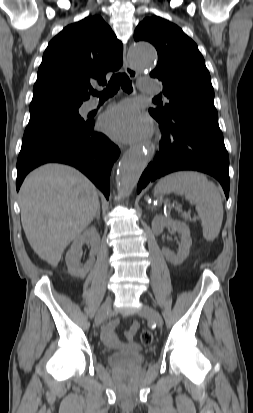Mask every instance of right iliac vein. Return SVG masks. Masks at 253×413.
Masks as SVG:
<instances>
[{
    "label": "right iliac vein",
    "instance_id": "right-iliac-vein-1",
    "mask_svg": "<svg viewBox=\"0 0 253 413\" xmlns=\"http://www.w3.org/2000/svg\"><path fill=\"white\" fill-rule=\"evenodd\" d=\"M110 311H111V300L108 299V300H106V301L104 302V304L100 307V309H99V311H98V313H97V315H96L95 322H96L97 324H101V323L107 318V316L109 315Z\"/></svg>",
    "mask_w": 253,
    "mask_h": 413
}]
</instances>
